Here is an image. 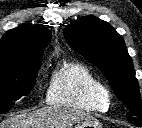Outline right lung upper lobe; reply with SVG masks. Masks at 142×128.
<instances>
[{
    "mask_svg": "<svg viewBox=\"0 0 142 128\" xmlns=\"http://www.w3.org/2000/svg\"><path fill=\"white\" fill-rule=\"evenodd\" d=\"M51 41L44 28L20 26L9 30L0 40V76H14L28 64L42 60Z\"/></svg>",
    "mask_w": 142,
    "mask_h": 128,
    "instance_id": "1",
    "label": "right lung upper lobe"
}]
</instances>
